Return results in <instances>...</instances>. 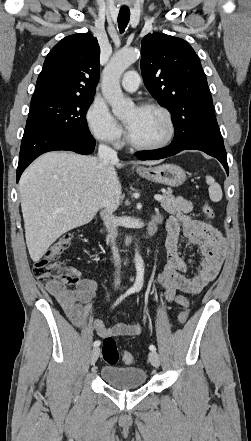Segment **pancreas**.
<instances>
[{
	"label": "pancreas",
	"mask_w": 251,
	"mask_h": 441,
	"mask_svg": "<svg viewBox=\"0 0 251 441\" xmlns=\"http://www.w3.org/2000/svg\"><path fill=\"white\" fill-rule=\"evenodd\" d=\"M164 199L161 201V207L170 214H187L193 210V204L182 197L175 198L172 190L167 189L164 193Z\"/></svg>",
	"instance_id": "obj_1"
}]
</instances>
